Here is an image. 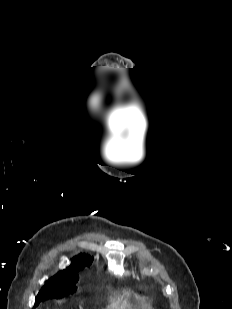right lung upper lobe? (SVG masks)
Listing matches in <instances>:
<instances>
[{
    "mask_svg": "<svg viewBox=\"0 0 232 309\" xmlns=\"http://www.w3.org/2000/svg\"><path fill=\"white\" fill-rule=\"evenodd\" d=\"M92 258L85 254H80L73 258V261L67 269L60 271L55 276L46 281V283L52 285L61 282H76L78 280L77 272L90 266ZM68 295H61L58 298H62Z\"/></svg>",
    "mask_w": 232,
    "mask_h": 309,
    "instance_id": "cb5924a9",
    "label": "right lung upper lobe"
}]
</instances>
